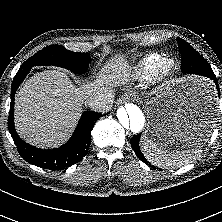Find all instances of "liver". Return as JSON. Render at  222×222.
<instances>
[{
	"label": "liver",
	"instance_id": "6515ba94",
	"mask_svg": "<svg viewBox=\"0 0 222 222\" xmlns=\"http://www.w3.org/2000/svg\"><path fill=\"white\" fill-rule=\"evenodd\" d=\"M131 75L127 61L117 58L99 72L96 82L75 86L60 70H45L30 77L15 96V127L37 147H56L71 135L85 100L112 86L125 84Z\"/></svg>",
	"mask_w": 222,
	"mask_h": 222
}]
</instances>
